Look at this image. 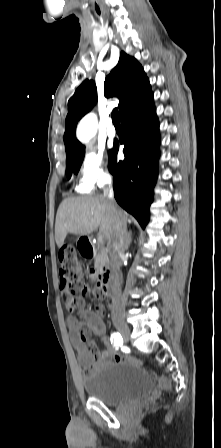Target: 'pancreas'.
Wrapping results in <instances>:
<instances>
[{"label": "pancreas", "instance_id": "cf45deb5", "mask_svg": "<svg viewBox=\"0 0 221 448\" xmlns=\"http://www.w3.org/2000/svg\"><path fill=\"white\" fill-rule=\"evenodd\" d=\"M107 256L105 253L100 254L96 259H95V266L98 267L100 262L105 259Z\"/></svg>", "mask_w": 221, "mask_h": 448}]
</instances>
